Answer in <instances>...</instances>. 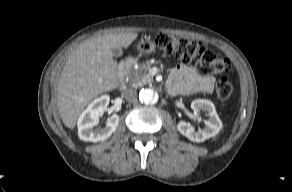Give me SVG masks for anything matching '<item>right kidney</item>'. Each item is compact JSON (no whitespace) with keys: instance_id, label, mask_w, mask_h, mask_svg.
Instances as JSON below:
<instances>
[{"instance_id":"right-kidney-1","label":"right kidney","mask_w":292,"mask_h":192,"mask_svg":"<svg viewBox=\"0 0 292 192\" xmlns=\"http://www.w3.org/2000/svg\"><path fill=\"white\" fill-rule=\"evenodd\" d=\"M110 97L102 95L92 101L86 110L80 115L78 120V134L83 141L98 142L109 138L116 130L119 123V116L113 114L106 121V126L93 131L99 117L104 113L109 104Z\"/></svg>"}]
</instances>
